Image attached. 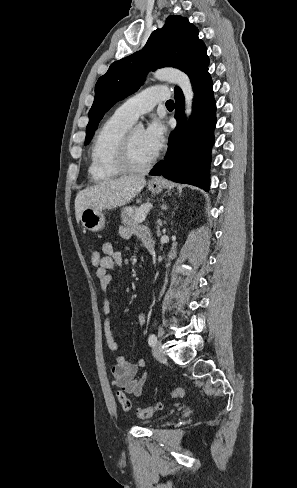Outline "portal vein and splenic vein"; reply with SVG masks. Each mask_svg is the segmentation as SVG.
Instances as JSON below:
<instances>
[{
    "label": "portal vein and splenic vein",
    "instance_id": "obj_1",
    "mask_svg": "<svg viewBox=\"0 0 297 488\" xmlns=\"http://www.w3.org/2000/svg\"><path fill=\"white\" fill-rule=\"evenodd\" d=\"M151 208H152V204H145L139 208L140 214H141L139 222L145 221L146 215L150 211Z\"/></svg>",
    "mask_w": 297,
    "mask_h": 488
}]
</instances>
